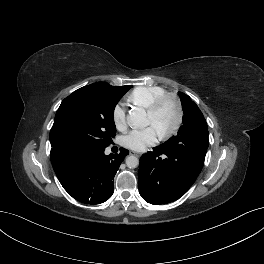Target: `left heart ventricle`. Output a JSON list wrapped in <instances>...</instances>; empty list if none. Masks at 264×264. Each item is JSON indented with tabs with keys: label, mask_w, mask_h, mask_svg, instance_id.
<instances>
[{
	"label": "left heart ventricle",
	"mask_w": 264,
	"mask_h": 264,
	"mask_svg": "<svg viewBox=\"0 0 264 264\" xmlns=\"http://www.w3.org/2000/svg\"><path fill=\"white\" fill-rule=\"evenodd\" d=\"M175 119L176 112L171 102H166L155 115L147 113V123L154 126L159 134L170 129Z\"/></svg>",
	"instance_id": "1"
}]
</instances>
